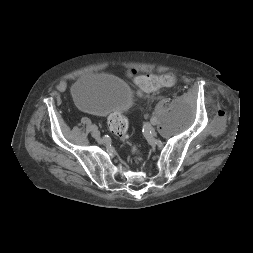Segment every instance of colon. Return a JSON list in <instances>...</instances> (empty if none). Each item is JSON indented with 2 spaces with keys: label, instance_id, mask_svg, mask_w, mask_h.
I'll list each match as a JSON object with an SVG mask.
<instances>
[{
  "label": "colon",
  "instance_id": "5ec220e1",
  "mask_svg": "<svg viewBox=\"0 0 253 253\" xmlns=\"http://www.w3.org/2000/svg\"><path fill=\"white\" fill-rule=\"evenodd\" d=\"M128 76L145 92H151L160 87L173 86L176 81L175 76L171 73H166L160 76L137 75L135 71L130 70ZM108 125L113 134L123 142L127 144L129 143L128 121L123 113L112 114L108 119ZM134 151L135 149H133V152Z\"/></svg>",
  "mask_w": 253,
  "mask_h": 253
}]
</instances>
